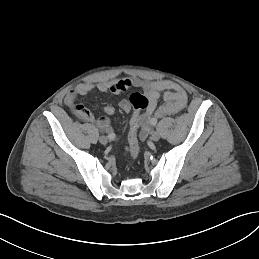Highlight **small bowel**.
Masks as SVG:
<instances>
[{
	"label": "small bowel",
	"mask_w": 259,
	"mask_h": 259,
	"mask_svg": "<svg viewBox=\"0 0 259 259\" xmlns=\"http://www.w3.org/2000/svg\"><path fill=\"white\" fill-rule=\"evenodd\" d=\"M131 87L140 88L149 101L148 108L142 113L140 118V138L142 140H146L153 118L156 116L163 117L176 114L183 110L187 105V93L179 84L170 80L147 81L138 78L103 81L96 84L80 83L68 92L65 97V102L68 105H73L78 95H87L94 91L102 93H119ZM161 94H163L164 102L159 105L158 101ZM119 106L125 113L131 112L129 100L124 99L120 101ZM75 108L76 110H81L83 112L82 118L85 121L94 123L104 132L113 133L114 128L108 117H95L81 104L76 105ZM103 111L106 115H113L115 113V108L111 105H106L103 107Z\"/></svg>",
	"instance_id": "1"
}]
</instances>
